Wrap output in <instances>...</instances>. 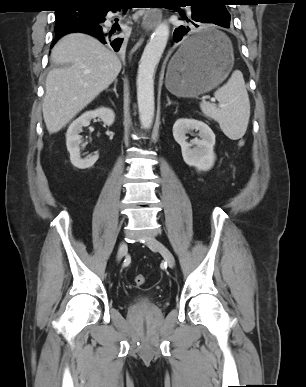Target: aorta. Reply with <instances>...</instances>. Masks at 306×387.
I'll return each mask as SVG.
<instances>
[{
    "instance_id": "aorta-1",
    "label": "aorta",
    "mask_w": 306,
    "mask_h": 387,
    "mask_svg": "<svg viewBox=\"0 0 306 387\" xmlns=\"http://www.w3.org/2000/svg\"><path fill=\"white\" fill-rule=\"evenodd\" d=\"M169 25L160 23L152 33L142 53L137 72V103L139 119L144 129L151 127L154 119V76L169 38Z\"/></svg>"
}]
</instances>
